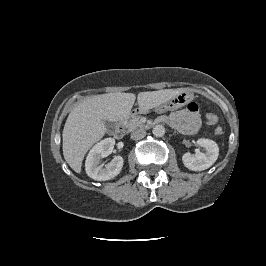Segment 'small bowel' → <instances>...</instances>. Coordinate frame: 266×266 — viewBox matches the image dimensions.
Returning <instances> with one entry per match:
<instances>
[{
	"label": "small bowel",
	"mask_w": 266,
	"mask_h": 266,
	"mask_svg": "<svg viewBox=\"0 0 266 266\" xmlns=\"http://www.w3.org/2000/svg\"><path fill=\"white\" fill-rule=\"evenodd\" d=\"M160 122H166L182 134H195L200 128V115L198 106L190 103L185 109L170 113L168 116H161Z\"/></svg>",
	"instance_id": "obj_1"
}]
</instances>
